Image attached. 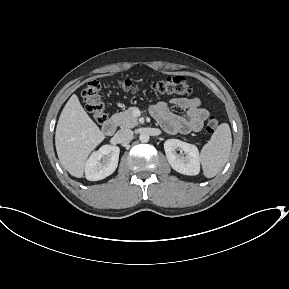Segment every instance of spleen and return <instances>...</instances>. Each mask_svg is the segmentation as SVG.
Instances as JSON below:
<instances>
[{
    "instance_id": "3e777b00",
    "label": "spleen",
    "mask_w": 289,
    "mask_h": 289,
    "mask_svg": "<svg viewBox=\"0 0 289 289\" xmlns=\"http://www.w3.org/2000/svg\"><path fill=\"white\" fill-rule=\"evenodd\" d=\"M232 147L231 130L227 123L220 124L200 154L203 174L207 178L216 176L225 166Z\"/></svg>"
}]
</instances>
